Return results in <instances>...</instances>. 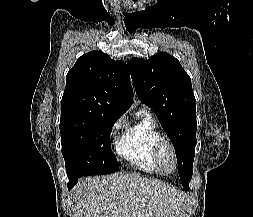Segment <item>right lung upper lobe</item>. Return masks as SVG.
Returning a JSON list of instances; mask_svg holds the SVG:
<instances>
[{
	"label": "right lung upper lobe",
	"mask_w": 253,
	"mask_h": 217,
	"mask_svg": "<svg viewBox=\"0 0 253 217\" xmlns=\"http://www.w3.org/2000/svg\"><path fill=\"white\" fill-rule=\"evenodd\" d=\"M127 65L101 51L78 58L66 76L61 109L84 110L120 117L132 104Z\"/></svg>",
	"instance_id": "1"
}]
</instances>
